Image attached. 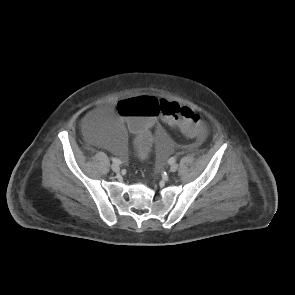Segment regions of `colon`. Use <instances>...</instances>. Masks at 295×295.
<instances>
[{
  "label": "colon",
  "instance_id": "colon-1",
  "mask_svg": "<svg viewBox=\"0 0 295 295\" xmlns=\"http://www.w3.org/2000/svg\"><path fill=\"white\" fill-rule=\"evenodd\" d=\"M116 118L121 127L133 132L132 158L139 165L148 164L153 158L154 142L149 132L156 121H169L185 135L203 138L205 126L200 116L189 105H182L177 99L159 100L145 93H138L129 100L116 105Z\"/></svg>",
  "mask_w": 295,
  "mask_h": 295
}]
</instances>
